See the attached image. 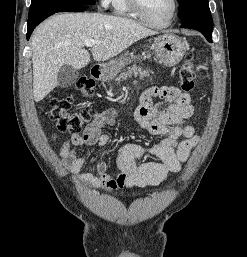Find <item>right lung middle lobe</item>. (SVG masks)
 Listing matches in <instances>:
<instances>
[{
    "instance_id": "1",
    "label": "right lung middle lobe",
    "mask_w": 247,
    "mask_h": 257,
    "mask_svg": "<svg viewBox=\"0 0 247 257\" xmlns=\"http://www.w3.org/2000/svg\"><path fill=\"white\" fill-rule=\"evenodd\" d=\"M95 0H32L29 14L52 5H93Z\"/></svg>"
}]
</instances>
